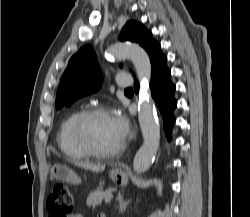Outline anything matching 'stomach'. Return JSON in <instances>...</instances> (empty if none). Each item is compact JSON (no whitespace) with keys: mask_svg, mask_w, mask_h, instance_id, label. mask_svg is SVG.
Masks as SVG:
<instances>
[{"mask_svg":"<svg viewBox=\"0 0 250 217\" xmlns=\"http://www.w3.org/2000/svg\"><path fill=\"white\" fill-rule=\"evenodd\" d=\"M52 177L58 181L70 183V184H80L81 179L66 165L55 164L51 168ZM110 178L115 183H124L127 180L126 173L121 168H114L110 172Z\"/></svg>","mask_w":250,"mask_h":217,"instance_id":"stomach-1","label":"stomach"}]
</instances>
